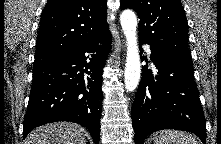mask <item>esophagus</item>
<instances>
[{"instance_id":"obj_1","label":"esophagus","mask_w":221,"mask_h":144,"mask_svg":"<svg viewBox=\"0 0 221 144\" xmlns=\"http://www.w3.org/2000/svg\"><path fill=\"white\" fill-rule=\"evenodd\" d=\"M123 41H124V40H122V47H124V45H123L124 42H123Z\"/></svg>"}]
</instances>
